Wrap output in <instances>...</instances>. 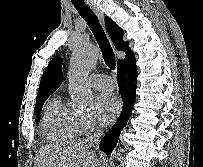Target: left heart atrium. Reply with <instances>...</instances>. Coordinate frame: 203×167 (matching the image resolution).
<instances>
[{
  "label": "left heart atrium",
  "mask_w": 203,
  "mask_h": 167,
  "mask_svg": "<svg viewBox=\"0 0 203 167\" xmlns=\"http://www.w3.org/2000/svg\"><path fill=\"white\" fill-rule=\"evenodd\" d=\"M121 108L119 98L113 93L101 94L96 100V111L103 123L112 121Z\"/></svg>",
  "instance_id": "left-heart-atrium-1"
}]
</instances>
